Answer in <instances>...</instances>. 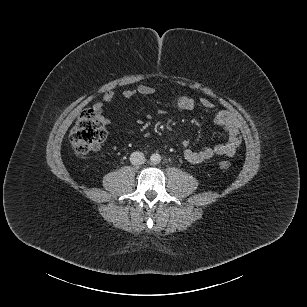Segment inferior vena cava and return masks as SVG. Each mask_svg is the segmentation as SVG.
Segmentation results:
<instances>
[{
    "label": "inferior vena cava",
    "instance_id": "inferior-vena-cava-1",
    "mask_svg": "<svg viewBox=\"0 0 307 307\" xmlns=\"http://www.w3.org/2000/svg\"><path fill=\"white\" fill-rule=\"evenodd\" d=\"M130 162L133 165H141L145 162V157L144 154L142 152H133L130 156Z\"/></svg>",
    "mask_w": 307,
    "mask_h": 307
}]
</instances>
